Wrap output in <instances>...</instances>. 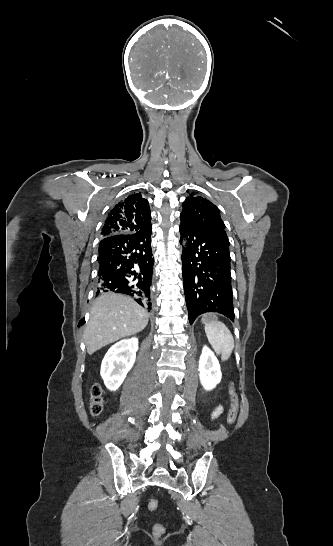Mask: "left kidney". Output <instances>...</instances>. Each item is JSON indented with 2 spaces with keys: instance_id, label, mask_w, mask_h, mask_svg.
Masks as SVG:
<instances>
[{
  "instance_id": "1",
  "label": "left kidney",
  "mask_w": 333,
  "mask_h": 546,
  "mask_svg": "<svg viewBox=\"0 0 333 546\" xmlns=\"http://www.w3.org/2000/svg\"><path fill=\"white\" fill-rule=\"evenodd\" d=\"M198 370L201 384L206 390L213 389L221 380L219 361L207 346L202 349Z\"/></svg>"
}]
</instances>
